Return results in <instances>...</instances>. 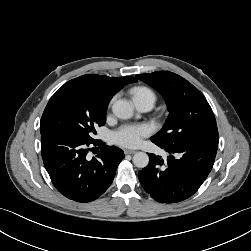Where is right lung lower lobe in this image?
<instances>
[{
    "mask_svg": "<svg viewBox=\"0 0 251 251\" xmlns=\"http://www.w3.org/2000/svg\"><path fill=\"white\" fill-rule=\"evenodd\" d=\"M90 145L101 149L97 158L91 160L87 158ZM41 153L56 189L65 197L81 203L95 200L108 189L124 158L118 147L58 132L41 135Z\"/></svg>",
    "mask_w": 251,
    "mask_h": 251,
    "instance_id": "obj_1",
    "label": "right lung lower lobe"
}]
</instances>
